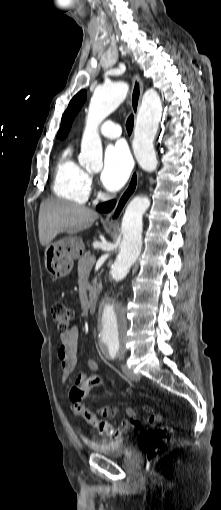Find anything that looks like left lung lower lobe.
I'll return each instance as SVG.
<instances>
[{"label":"left lung lower lobe","instance_id":"obj_1","mask_svg":"<svg viewBox=\"0 0 221 510\" xmlns=\"http://www.w3.org/2000/svg\"><path fill=\"white\" fill-rule=\"evenodd\" d=\"M114 206H115V201H109V202L98 205L96 207V209L100 212H109L110 210L113 209Z\"/></svg>","mask_w":221,"mask_h":510}]
</instances>
